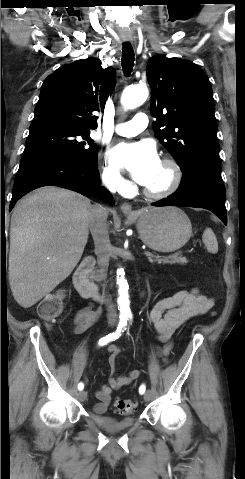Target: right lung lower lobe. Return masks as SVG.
<instances>
[{
  "mask_svg": "<svg viewBox=\"0 0 245 479\" xmlns=\"http://www.w3.org/2000/svg\"><path fill=\"white\" fill-rule=\"evenodd\" d=\"M100 184L97 166L65 156H43L21 162L16 174L10 209L18 199L43 186H59L82 195H97L113 202Z\"/></svg>",
  "mask_w": 245,
  "mask_h": 479,
  "instance_id": "1",
  "label": "right lung lower lobe"
}]
</instances>
